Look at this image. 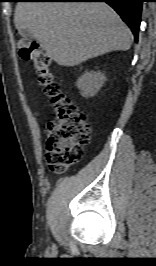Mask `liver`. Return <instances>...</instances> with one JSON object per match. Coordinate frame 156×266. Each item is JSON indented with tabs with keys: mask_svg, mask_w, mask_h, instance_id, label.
<instances>
[{
	"mask_svg": "<svg viewBox=\"0 0 156 266\" xmlns=\"http://www.w3.org/2000/svg\"><path fill=\"white\" fill-rule=\"evenodd\" d=\"M14 23L27 29L61 66H75L111 51H127L130 29L105 3L17 4Z\"/></svg>",
	"mask_w": 156,
	"mask_h": 266,
	"instance_id": "6515ba94",
	"label": "liver"
}]
</instances>
